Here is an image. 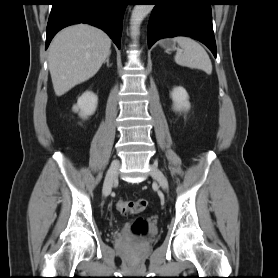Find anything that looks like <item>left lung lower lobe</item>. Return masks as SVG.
I'll use <instances>...</instances> for the list:
<instances>
[{"label": "left lung lower lobe", "instance_id": "obj_1", "mask_svg": "<svg viewBox=\"0 0 278 278\" xmlns=\"http://www.w3.org/2000/svg\"><path fill=\"white\" fill-rule=\"evenodd\" d=\"M212 1L149 0L155 7L148 23V47L161 38L189 36L205 44L216 57Z\"/></svg>", "mask_w": 278, "mask_h": 278}]
</instances>
